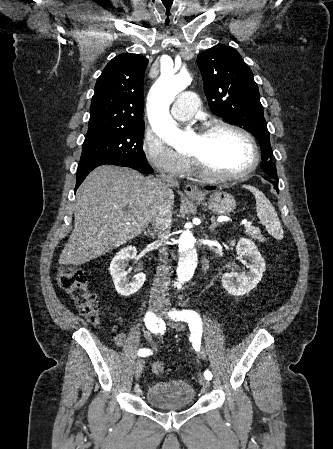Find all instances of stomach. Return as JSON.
<instances>
[{
	"label": "stomach",
	"mask_w": 333,
	"mask_h": 449,
	"mask_svg": "<svg viewBox=\"0 0 333 449\" xmlns=\"http://www.w3.org/2000/svg\"><path fill=\"white\" fill-rule=\"evenodd\" d=\"M203 204L204 201L199 198H193ZM236 201L234 197L227 192H215L208 200V208L211 212L219 215H228L235 209Z\"/></svg>",
	"instance_id": "stomach-1"
}]
</instances>
